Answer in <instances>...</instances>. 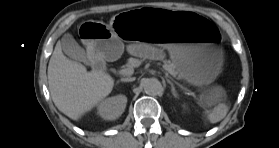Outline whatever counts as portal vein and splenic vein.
Masks as SVG:
<instances>
[{
  "instance_id": "1",
  "label": "portal vein and splenic vein",
  "mask_w": 279,
  "mask_h": 148,
  "mask_svg": "<svg viewBox=\"0 0 279 148\" xmlns=\"http://www.w3.org/2000/svg\"><path fill=\"white\" fill-rule=\"evenodd\" d=\"M136 65L139 66V63H137ZM119 73L122 75H131L133 74V69H129V68L121 69L119 70ZM165 75L167 76V73H165Z\"/></svg>"
}]
</instances>
